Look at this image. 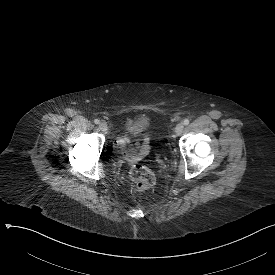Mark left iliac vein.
<instances>
[{
	"instance_id": "1",
	"label": "left iliac vein",
	"mask_w": 275,
	"mask_h": 275,
	"mask_svg": "<svg viewBox=\"0 0 275 275\" xmlns=\"http://www.w3.org/2000/svg\"><path fill=\"white\" fill-rule=\"evenodd\" d=\"M184 130V125L182 123L177 124L175 128L176 135H181Z\"/></svg>"
}]
</instances>
